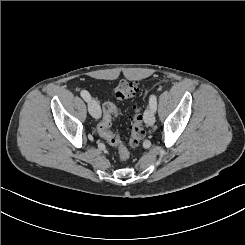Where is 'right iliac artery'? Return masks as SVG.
<instances>
[{
  "label": "right iliac artery",
  "mask_w": 245,
  "mask_h": 245,
  "mask_svg": "<svg viewBox=\"0 0 245 245\" xmlns=\"http://www.w3.org/2000/svg\"><path fill=\"white\" fill-rule=\"evenodd\" d=\"M80 95L82 96V98H83L86 102H88V101L90 100V98H91L90 94H89L88 91H86V90H82L81 93H80Z\"/></svg>",
  "instance_id": "1"
}]
</instances>
